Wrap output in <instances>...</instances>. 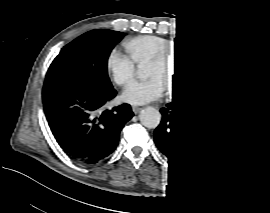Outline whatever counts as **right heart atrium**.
<instances>
[{
  "label": "right heart atrium",
  "instance_id": "obj_1",
  "mask_svg": "<svg viewBox=\"0 0 270 213\" xmlns=\"http://www.w3.org/2000/svg\"><path fill=\"white\" fill-rule=\"evenodd\" d=\"M109 67L113 73L115 81L119 85H127L136 74L134 62L124 55L114 53L109 60Z\"/></svg>",
  "mask_w": 270,
  "mask_h": 213
}]
</instances>
